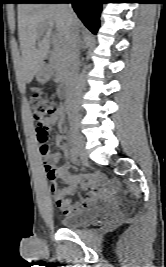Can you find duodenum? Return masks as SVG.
Segmentation results:
<instances>
[{
    "label": "duodenum",
    "instance_id": "obj_1",
    "mask_svg": "<svg viewBox=\"0 0 166 267\" xmlns=\"http://www.w3.org/2000/svg\"><path fill=\"white\" fill-rule=\"evenodd\" d=\"M53 61L50 55H47L43 59V73L51 74L53 71ZM58 96L60 99H66L68 97V84L63 82L58 90Z\"/></svg>",
    "mask_w": 166,
    "mask_h": 267
}]
</instances>
